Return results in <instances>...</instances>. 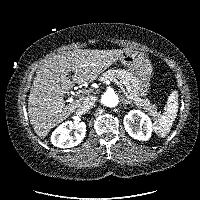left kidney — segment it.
Masks as SVG:
<instances>
[{
  "mask_svg": "<svg viewBox=\"0 0 200 200\" xmlns=\"http://www.w3.org/2000/svg\"><path fill=\"white\" fill-rule=\"evenodd\" d=\"M126 132L134 139L148 140L151 137L153 124L148 115L140 110H131L124 117ZM137 123L139 125L137 126Z\"/></svg>",
  "mask_w": 200,
  "mask_h": 200,
  "instance_id": "obj_1",
  "label": "left kidney"
}]
</instances>
